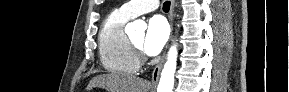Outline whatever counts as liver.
Masks as SVG:
<instances>
[{"label": "liver", "instance_id": "liver-1", "mask_svg": "<svg viewBox=\"0 0 289 92\" xmlns=\"http://www.w3.org/2000/svg\"><path fill=\"white\" fill-rule=\"evenodd\" d=\"M94 87L104 88L109 92H148L150 83L135 76L111 73L92 78L87 90Z\"/></svg>", "mask_w": 289, "mask_h": 92}]
</instances>
